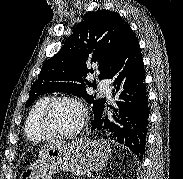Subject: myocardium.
<instances>
[{
  "mask_svg": "<svg viewBox=\"0 0 183 179\" xmlns=\"http://www.w3.org/2000/svg\"><path fill=\"white\" fill-rule=\"evenodd\" d=\"M60 102H70L75 104L80 109L82 114L80 124L73 131L68 133H54L50 131L46 126V118L50 110ZM88 120H89L88 110L82 100L73 96H57V97L51 98L42 108L38 117V128L46 138L70 139L77 136L84 130V128L88 123Z\"/></svg>",
  "mask_w": 183,
  "mask_h": 179,
  "instance_id": "myocardium-1",
  "label": "myocardium"
}]
</instances>
